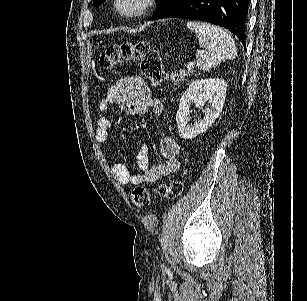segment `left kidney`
I'll return each mask as SVG.
<instances>
[{
  "label": "left kidney",
  "instance_id": "1",
  "mask_svg": "<svg viewBox=\"0 0 307 301\" xmlns=\"http://www.w3.org/2000/svg\"><path fill=\"white\" fill-rule=\"evenodd\" d=\"M227 84L224 78H201L193 80L180 98L179 108L176 114L178 132L181 138H195L197 134L206 132L219 116L225 96ZM196 104L203 108L205 102H210L209 108H205L203 120L194 124H188L190 120V104Z\"/></svg>",
  "mask_w": 307,
  "mask_h": 301
}]
</instances>
